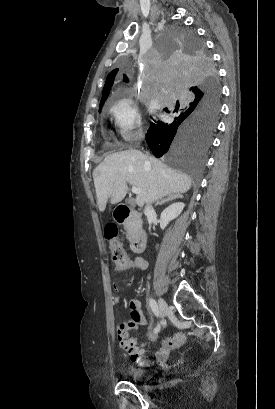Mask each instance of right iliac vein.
Instances as JSON below:
<instances>
[{"label": "right iliac vein", "instance_id": "63e3f726", "mask_svg": "<svg viewBox=\"0 0 275 409\" xmlns=\"http://www.w3.org/2000/svg\"><path fill=\"white\" fill-rule=\"evenodd\" d=\"M158 307H159V310H158L159 315H160L161 318H163L166 315L167 311H168V305H167V303L165 302L164 299L159 298Z\"/></svg>", "mask_w": 275, "mask_h": 409}]
</instances>
